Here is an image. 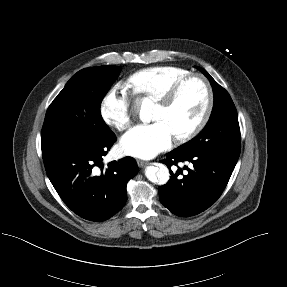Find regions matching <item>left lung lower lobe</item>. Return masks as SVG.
Masks as SVG:
<instances>
[{"label":"left lung lower lobe","instance_id":"left-lung-lower-lobe-1","mask_svg":"<svg viewBox=\"0 0 287 287\" xmlns=\"http://www.w3.org/2000/svg\"><path fill=\"white\" fill-rule=\"evenodd\" d=\"M162 163L170 170V180L158 188L161 203L173 214L181 217L197 215L209 208L222 194L238 159L206 150L186 151L179 148L166 155ZM191 162L182 174L179 168L171 170L178 162Z\"/></svg>","mask_w":287,"mask_h":287}]
</instances>
